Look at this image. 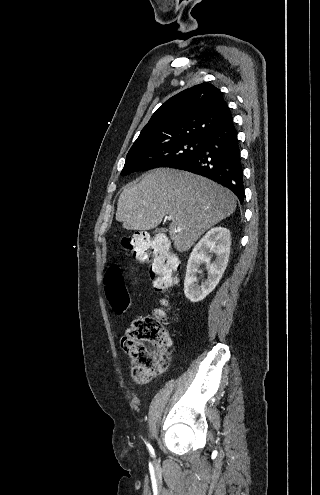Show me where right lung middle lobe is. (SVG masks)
<instances>
[{"mask_svg": "<svg viewBox=\"0 0 320 495\" xmlns=\"http://www.w3.org/2000/svg\"><path fill=\"white\" fill-rule=\"evenodd\" d=\"M203 138H185L167 143L137 146L129 150L122 175L157 167H172L194 156Z\"/></svg>", "mask_w": 320, "mask_h": 495, "instance_id": "1", "label": "right lung middle lobe"}]
</instances>
